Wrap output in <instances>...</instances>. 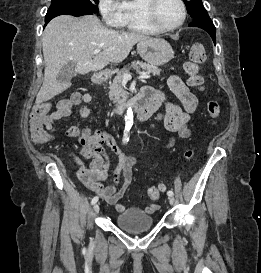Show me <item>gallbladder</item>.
<instances>
[{
    "label": "gallbladder",
    "instance_id": "bac80fb5",
    "mask_svg": "<svg viewBox=\"0 0 261 273\" xmlns=\"http://www.w3.org/2000/svg\"><path fill=\"white\" fill-rule=\"evenodd\" d=\"M75 69L76 64L74 62H69L68 64L64 65L57 76V80L60 82L71 81L72 77L77 75Z\"/></svg>",
    "mask_w": 261,
    "mask_h": 273
}]
</instances>
